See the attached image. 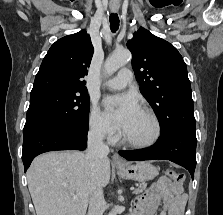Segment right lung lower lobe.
Here are the masks:
<instances>
[{
    "instance_id": "98d812e1",
    "label": "right lung lower lobe",
    "mask_w": 223,
    "mask_h": 215,
    "mask_svg": "<svg viewBox=\"0 0 223 215\" xmlns=\"http://www.w3.org/2000/svg\"><path fill=\"white\" fill-rule=\"evenodd\" d=\"M88 131L49 127L24 133L22 160L24 170L28 169L32 160L39 154L54 150H85Z\"/></svg>"
}]
</instances>
